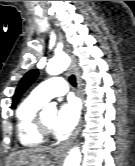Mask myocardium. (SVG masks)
I'll list each match as a JSON object with an SVG mask.
<instances>
[{
	"mask_svg": "<svg viewBox=\"0 0 135 166\" xmlns=\"http://www.w3.org/2000/svg\"><path fill=\"white\" fill-rule=\"evenodd\" d=\"M36 128L38 132L44 137V138H50L53 136L52 129L47 127L42 119V113L39 112L36 116Z\"/></svg>",
	"mask_w": 135,
	"mask_h": 166,
	"instance_id": "obj_1",
	"label": "myocardium"
}]
</instances>
